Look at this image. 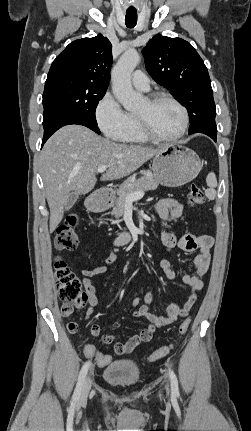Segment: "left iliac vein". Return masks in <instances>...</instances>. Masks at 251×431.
Here are the masks:
<instances>
[{
  "mask_svg": "<svg viewBox=\"0 0 251 431\" xmlns=\"http://www.w3.org/2000/svg\"><path fill=\"white\" fill-rule=\"evenodd\" d=\"M166 390H167V392H169V386L168 385H166Z\"/></svg>",
  "mask_w": 251,
  "mask_h": 431,
  "instance_id": "left-iliac-vein-1",
  "label": "left iliac vein"
}]
</instances>
